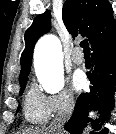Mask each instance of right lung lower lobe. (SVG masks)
I'll list each match as a JSON object with an SVG mask.
<instances>
[{"label": "right lung lower lobe", "mask_w": 116, "mask_h": 134, "mask_svg": "<svg viewBox=\"0 0 116 134\" xmlns=\"http://www.w3.org/2000/svg\"><path fill=\"white\" fill-rule=\"evenodd\" d=\"M91 72L87 76L91 82L90 92L81 93L78 97L74 112L70 120L65 124V129L71 134H80L86 123L88 111L93 109L102 115V119L92 122L95 130H100L101 124L110 117V111L114 108V92L116 91V30L101 42L92 47ZM99 121L101 122L99 124ZM106 134L107 129L100 131Z\"/></svg>", "instance_id": "98d812e1"}]
</instances>
